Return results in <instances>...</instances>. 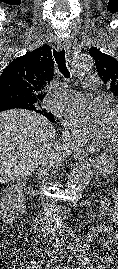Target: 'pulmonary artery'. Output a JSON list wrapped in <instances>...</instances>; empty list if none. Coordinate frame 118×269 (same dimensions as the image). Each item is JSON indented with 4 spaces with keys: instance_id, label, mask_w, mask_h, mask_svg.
Segmentation results:
<instances>
[{
    "instance_id": "pulmonary-artery-1",
    "label": "pulmonary artery",
    "mask_w": 118,
    "mask_h": 269,
    "mask_svg": "<svg viewBox=\"0 0 118 269\" xmlns=\"http://www.w3.org/2000/svg\"><path fill=\"white\" fill-rule=\"evenodd\" d=\"M99 80L97 77H86L84 79V86L88 90H94L98 87ZM83 95L75 90H67L64 96L55 97L54 102L62 106L76 105L81 102Z\"/></svg>"
}]
</instances>
